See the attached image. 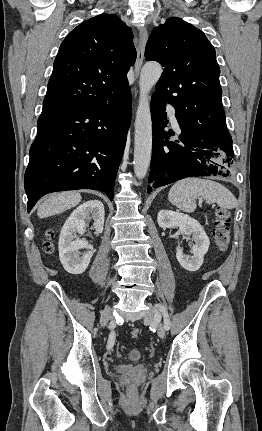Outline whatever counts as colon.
<instances>
[{"label":"colon","mask_w":262,"mask_h":431,"mask_svg":"<svg viewBox=\"0 0 262 431\" xmlns=\"http://www.w3.org/2000/svg\"><path fill=\"white\" fill-rule=\"evenodd\" d=\"M230 212L224 208H217L215 212V222L213 226V238L216 247L220 251H226L230 242ZM44 249L50 253L53 250V244L50 240L44 242ZM140 334L138 328L131 331L133 338H137Z\"/></svg>","instance_id":"colon-1"}]
</instances>
